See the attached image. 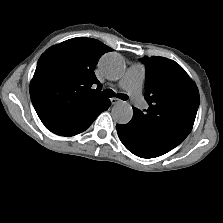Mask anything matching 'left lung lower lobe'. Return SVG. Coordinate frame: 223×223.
<instances>
[{"label":"left lung lower lobe","mask_w":223,"mask_h":223,"mask_svg":"<svg viewBox=\"0 0 223 223\" xmlns=\"http://www.w3.org/2000/svg\"><path fill=\"white\" fill-rule=\"evenodd\" d=\"M116 129L123 145L141 158H155L174 148L165 142L147 136L132 120L125 125H116Z\"/></svg>","instance_id":"1"}]
</instances>
